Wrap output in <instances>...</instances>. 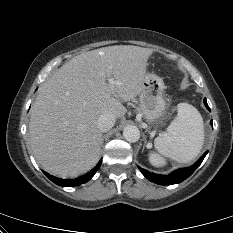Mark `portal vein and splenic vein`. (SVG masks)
<instances>
[{
  "label": "portal vein and splenic vein",
  "mask_w": 233,
  "mask_h": 233,
  "mask_svg": "<svg viewBox=\"0 0 233 233\" xmlns=\"http://www.w3.org/2000/svg\"><path fill=\"white\" fill-rule=\"evenodd\" d=\"M108 81L110 84H115V81L112 78H109Z\"/></svg>",
  "instance_id": "obj_1"
}]
</instances>
